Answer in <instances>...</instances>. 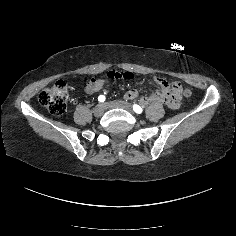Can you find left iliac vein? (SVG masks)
<instances>
[{
    "label": "left iliac vein",
    "mask_w": 236,
    "mask_h": 236,
    "mask_svg": "<svg viewBox=\"0 0 236 236\" xmlns=\"http://www.w3.org/2000/svg\"><path fill=\"white\" fill-rule=\"evenodd\" d=\"M108 106L112 108H122V109L127 110L128 112H132V106L129 103L121 101V100L110 102L108 103Z\"/></svg>",
    "instance_id": "obj_1"
}]
</instances>
